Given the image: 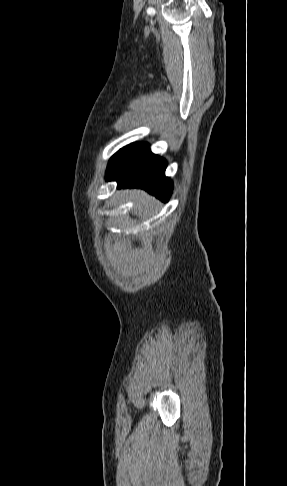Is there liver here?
Segmentation results:
<instances>
[{
  "label": "liver",
  "mask_w": 287,
  "mask_h": 486,
  "mask_svg": "<svg viewBox=\"0 0 287 486\" xmlns=\"http://www.w3.org/2000/svg\"><path fill=\"white\" fill-rule=\"evenodd\" d=\"M123 194L126 197H129L130 200L135 201L133 214L137 216L147 214L149 208L157 203V200L154 197L142 190H126L123 191Z\"/></svg>",
  "instance_id": "liver-1"
}]
</instances>
